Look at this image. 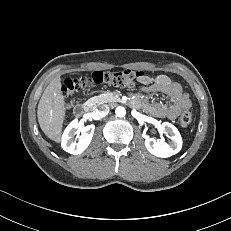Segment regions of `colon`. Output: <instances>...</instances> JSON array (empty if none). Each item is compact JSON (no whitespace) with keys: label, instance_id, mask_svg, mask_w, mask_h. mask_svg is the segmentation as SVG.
<instances>
[{"label":"colon","instance_id":"obj_1","mask_svg":"<svg viewBox=\"0 0 231 231\" xmlns=\"http://www.w3.org/2000/svg\"><path fill=\"white\" fill-rule=\"evenodd\" d=\"M143 72L124 70V71H96L84 78H74L65 80L62 91L66 98H70L74 93L82 90L89 85H103L115 88H135L142 85ZM192 122V114L184 110L179 123L183 128H187Z\"/></svg>","mask_w":231,"mask_h":231}]
</instances>
